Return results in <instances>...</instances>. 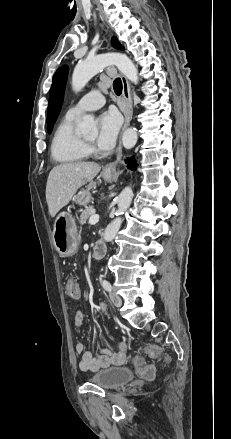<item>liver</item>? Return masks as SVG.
<instances>
[{
	"label": "liver",
	"mask_w": 231,
	"mask_h": 439,
	"mask_svg": "<svg viewBox=\"0 0 231 439\" xmlns=\"http://www.w3.org/2000/svg\"><path fill=\"white\" fill-rule=\"evenodd\" d=\"M101 170L93 162H73L55 166L49 173L46 185V201L51 217L66 206L77 190L90 182Z\"/></svg>",
	"instance_id": "obj_1"
}]
</instances>
